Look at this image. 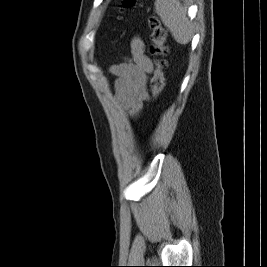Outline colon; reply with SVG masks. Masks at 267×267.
Segmentation results:
<instances>
[{"label": "colon", "instance_id": "1", "mask_svg": "<svg viewBox=\"0 0 267 267\" xmlns=\"http://www.w3.org/2000/svg\"><path fill=\"white\" fill-rule=\"evenodd\" d=\"M137 0H124L123 5L126 8L133 7ZM149 28L151 31L150 53L154 57L155 71L151 79V90L155 98H158L166 83L165 69L167 68L166 56L168 54V46L166 44L167 33L160 20L152 16L149 19Z\"/></svg>", "mask_w": 267, "mask_h": 267}]
</instances>
